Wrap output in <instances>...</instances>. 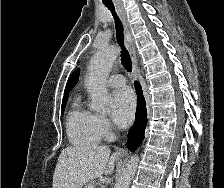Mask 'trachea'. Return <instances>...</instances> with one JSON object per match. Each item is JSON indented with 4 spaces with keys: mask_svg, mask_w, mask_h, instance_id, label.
Wrapping results in <instances>:
<instances>
[{
    "mask_svg": "<svg viewBox=\"0 0 224 188\" xmlns=\"http://www.w3.org/2000/svg\"><path fill=\"white\" fill-rule=\"evenodd\" d=\"M104 5L111 11L115 20L117 43L121 47V62L123 66L125 67V69L128 72H131L132 64H131L130 55L124 46L123 25L115 12L113 3H104Z\"/></svg>",
    "mask_w": 224,
    "mask_h": 188,
    "instance_id": "3493384b",
    "label": "trachea"
}]
</instances>
